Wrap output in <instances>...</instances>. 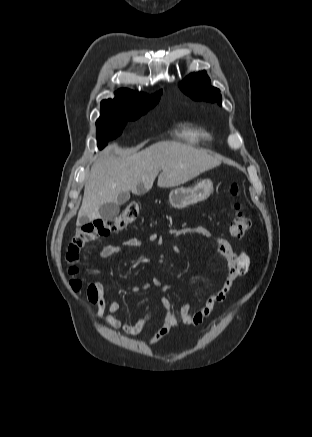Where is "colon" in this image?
<instances>
[{"label":"colon","instance_id":"colon-1","mask_svg":"<svg viewBox=\"0 0 312 437\" xmlns=\"http://www.w3.org/2000/svg\"><path fill=\"white\" fill-rule=\"evenodd\" d=\"M230 192L233 196L238 195L239 187L237 183L231 185ZM140 211V204L136 201H130L117 215L110 218H96L84 224L75 232L66 252V260L71 264L69 273L71 275L70 286L73 291L79 292L84 287L83 281L77 278L79 269L75 265L79 260L81 249L91 241L122 230L139 216ZM250 227L251 219L237 204L235 206V216L229 223V234L234 238H241L249 231Z\"/></svg>","mask_w":312,"mask_h":437}]
</instances>
